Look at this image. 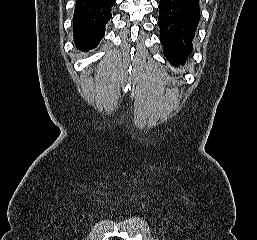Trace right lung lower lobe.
Wrapping results in <instances>:
<instances>
[{
  "label": "right lung lower lobe",
  "instance_id": "98d812e1",
  "mask_svg": "<svg viewBox=\"0 0 257 240\" xmlns=\"http://www.w3.org/2000/svg\"><path fill=\"white\" fill-rule=\"evenodd\" d=\"M116 0H76L73 15L74 41L78 49L95 48L105 34Z\"/></svg>",
  "mask_w": 257,
  "mask_h": 240
}]
</instances>
